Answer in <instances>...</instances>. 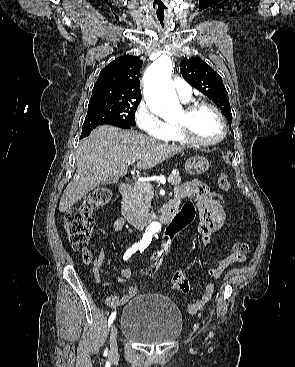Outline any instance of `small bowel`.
Here are the masks:
<instances>
[{
    "instance_id": "1",
    "label": "small bowel",
    "mask_w": 295,
    "mask_h": 367,
    "mask_svg": "<svg viewBox=\"0 0 295 367\" xmlns=\"http://www.w3.org/2000/svg\"><path fill=\"white\" fill-rule=\"evenodd\" d=\"M186 195H191L196 199L197 214L199 218L197 229L201 244L203 246H207L211 241L212 235L223 227L225 222V212L222 206L219 205V201L216 199L217 197L214 196L212 191L199 180H190L177 186L174 191V201H177L180 204ZM124 227L125 220L122 218H118L113 224V229L117 234L121 233ZM104 258L105 254L104 252H101L95 259L93 265V274L99 285L108 286L112 284H122L131 279L132 272L129 269H123L121 271V276L116 278L114 281L103 279L101 277L100 270L104 262ZM223 270L224 268L218 265L209 269L208 273L212 278H218L222 274ZM173 285L182 292H188L189 290V282L182 271H177L174 274ZM214 289L215 284L213 282H208L202 298L188 304V312L190 314H197L200 312L212 298ZM139 292V288L131 284L123 296L110 295L105 299V304L112 309H117L133 297L137 296Z\"/></svg>"
}]
</instances>
